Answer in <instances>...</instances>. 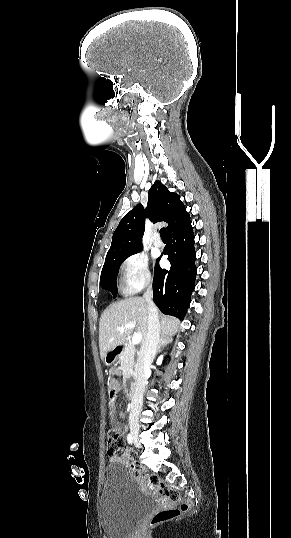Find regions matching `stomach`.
I'll use <instances>...</instances> for the list:
<instances>
[{
	"label": "stomach",
	"instance_id": "1",
	"mask_svg": "<svg viewBox=\"0 0 291 538\" xmlns=\"http://www.w3.org/2000/svg\"><path fill=\"white\" fill-rule=\"evenodd\" d=\"M118 361V355L114 352V349L111 351H108L103 359V362L105 365H113Z\"/></svg>",
	"mask_w": 291,
	"mask_h": 538
}]
</instances>
